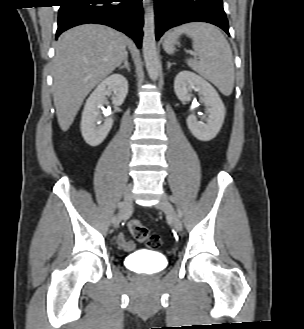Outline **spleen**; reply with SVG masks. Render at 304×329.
Returning a JSON list of instances; mask_svg holds the SVG:
<instances>
[{"instance_id":"3e777b00","label":"spleen","mask_w":304,"mask_h":329,"mask_svg":"<svg viewBox=\"0 0 304 329\" xmlns=\"http://www.w3.org/2000/svg\"><path fill=\"white\" fill-rule=\"evenodd\" d=\"M185 33L193 42V49L199 56L188 59L187 64L194 71L213 83L220 92L229 96L234 87V63L230 45L221 31L214 25L203 22H192L176 27L163 43L168 54L175 51L177 37Z\"/></svg>"}]
</instances>
